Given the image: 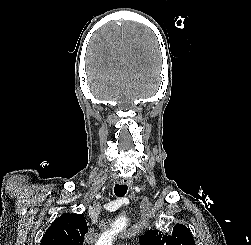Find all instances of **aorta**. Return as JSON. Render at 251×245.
Returning <instances> with one entry per match:
<instances>
[{
	"label": "aorta",
	"mask_w": 251,
	"mask_h": 245,
	"mask_svg": "<svg viewBox=\"0 0 251 245\" xmlns=\"http://www.w3.org/2000/svg\"><path fill=\"white\" fill-rule=\"evenodd\" d=\"M126 227V220L124 218H119L116 220L112 229L104 232L100 238L97 240L95 245H112L114 236L121 232Z\"/></svg>",
	"instance_id": "obj_1"
}]
</instances>
